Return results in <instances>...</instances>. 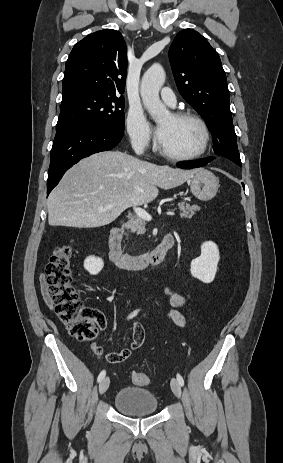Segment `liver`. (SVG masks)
I'll list each match as a JSON object with an SVG mask.
<instances>
[{"label":"liver","instance_id":"1","mask_svg":"<svg viewBox=\"0 0 283 463\" xmlns=\"http://www.w3.org/2000/svg\"><path fill=\"white\" fill-rule=\"evenodd\" d=\"M197 171L159 166L120 151L93 154L69 169L50 193L49 225L105 226L128 207L152 202L158 187L180 186Z\"/></svg>","mask_w":283,"mask_h":463}]
</instances>
